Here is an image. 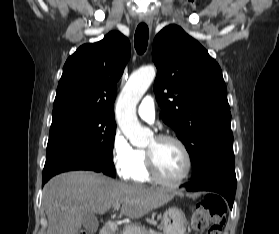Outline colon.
Segmentation results:
<instances>
[{"label": "colon", "mask_w": 279, "mask_h": 234, "mask_svg": "<svg viewBox=\"0 0 279 234\" xmlns=\"http://www.w3.org/2000/svg\"><path fill=\"white\" fill-rule=\"evenodd\" d=\"M226 212L225 200L218 195H209L196 204L191 218V227L196 231L206 230V234H223Z\"/></svg>", "instance_id": "obj_1"}]
</instances>
